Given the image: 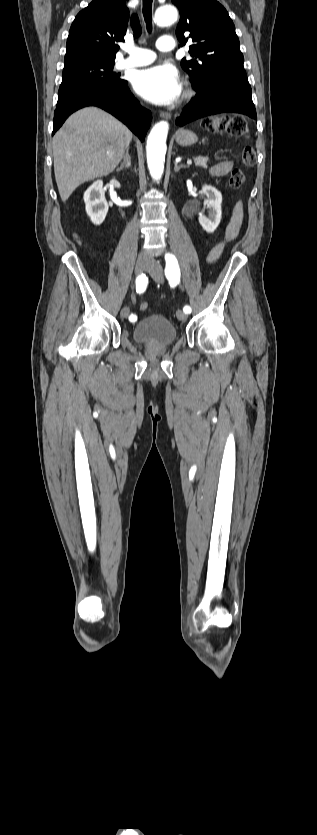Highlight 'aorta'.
I'll use <instances>...</instances> for the list:
<instances>
[{
  "label": "aorta",
  "mask_w": 317,
  "mask_h": 835,
  "mask_svg": "<svg viewBox=\"0 0 317 835\" xmlns=\"http://www.w3.org/2000/svg\"><path fill=\"white\" fill-rule=\"evenodd\" d=\"M177 16L178 12L174 6L164 5L156 10L155 22L158 25H171L177 20ZM168 130V122L160 121L153 126L147 139V165L154 180H160L164 172Z\"/></svg>",
  "instance_id": "762f6f07"
}]
</instances>
